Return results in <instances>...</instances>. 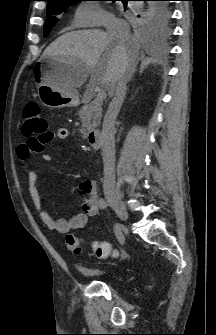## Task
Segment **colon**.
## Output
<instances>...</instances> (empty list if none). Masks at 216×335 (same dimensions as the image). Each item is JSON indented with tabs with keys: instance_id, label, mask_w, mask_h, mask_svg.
Here are the masks:
<instances>
[{
	"instance_id": "1",
	"label": "colon",
	"mask_w": 216,
	"mask_h": 335,
	"mask_svg": "<svg viewBox=\"0 0 216 335\" xmlns=\"http://www.w3.org/2000/svg\"><path fill=\"white\" fill-rule=\"evenodd\" d=\"M22 132L29 138L28 145L35 152L41 151L51 136V132L48 130V122L41 116L39 105L34 101L28 102L23 109ZM66 244L75 254L79 255L83 252L81 239L72 234L66 236ZM92 248L94 255L98 258L118 255L117 251L109 248L104 242L95 241L92 243Z\"/></svg>"
}]
</instances>
